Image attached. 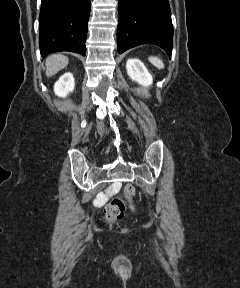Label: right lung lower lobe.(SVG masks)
<instances>
[{"mask_svg":"<svg viewBox=\"0 0 240 288\" xmlns=\"http://www.w3.org/2000/svg\"><path fill=\"white\" fill-rule=\"evenodd\" d=\"M90 0H42L39 47L42 57L51 52L86 54Z\"/></svg>","mask_w":240,"mask_h":288,"instance_id":"right-lung-lower-lobe-1","label":"right lung lower lobe"}]
</instances>
